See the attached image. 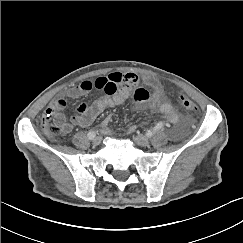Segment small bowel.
Wrapping results in <instances>:
<instances>
[{"label":"small bowel","mask_w":243,"mask_h":243,"mask_svg":"<svg viewBox=\"0 0 243 243\" xmlns=\"http://www.w3.org/2000/svg\"><path fill=\"white\" fill-rule=\"evenodd\" d=\"M144 82L152 87V103L158 110L165 114L171 123L179 122V115L169 103H161L162 88L159 82L152 77H145ZM138 84V77L134 73H111L107 76H99L95 79H85L78 84L60 93L48 106L45 113H56V119H64L58 112L66 105L65 97L77 98L87 95L92 90L102 92V96L95 101L79 104L71 117L70 123H64L65 132H69L73 126L88 127L105 110L123 104L131 95L132 89ZM150 98L149 93L141 88L133 92L132 99L135 103H144ZM104 130L108 129V121L102 123ZM128 132L133 133L136 127L131 125Z\"/></svg>","instance_id":"obj_1"}]
</instances>
